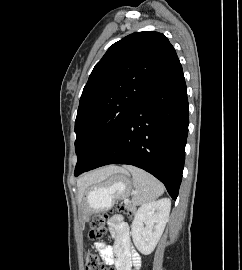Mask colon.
<instances>
[{"label":"colon","instance_id":"5ec220e1","mask_svg":"<svg viewBox=\"0 0 242 270\" xmlns=\"http://www.w3.org/2000/svg\"><path fill=\"white\" fill-rule=\"evenodd\" d=\"M122 206L117 208V213H124ZM110 212H99L92 217L89 238L94 241H100L108 236L107 220ZM86 270H113L106 266L95 252L86 254Z\"/></svg>","mask_w":242,"mask_h":270}]
</instances>
